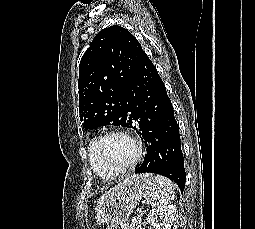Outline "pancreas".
<instances>
[{"label": "pancreas", "instance_id": "obj_1", "mask_svg": "<svg viewBox=\"0 0 255 229\" xmlns=\"http://www.w3.org/2000/svg\"><path fill=\"white\" fill-rule=\"evenodd\" d=\"M141 224V214H137V216L132 219L131 223L123 224L122 229H142Z\"/></svg>", "mask_w": 255, "mask_h": 229}]
</instances>
